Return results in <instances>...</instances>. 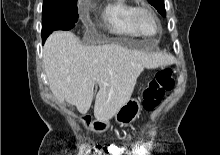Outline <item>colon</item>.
Instances as JSON below:
<instances>
[{"label":"colon","instance_id":"colon-1","mask_svg":"<svg viewBox=\"0 0 220 155\" xmlns=\"http://www.w3.org/2000/svg\"><path fill=\"white\" fill-rule=\"evenodd\" d=\"M172 68H164L158 71L149 79L143 91V106L147 111H152L157 107L165 93L174 87V77ZM101 146H97L100 150ZM135 146H109L108 155H121L122 151H128V155H133Z\"/></svg>","mask_w":220,"mask_h":155}]
</instances>
